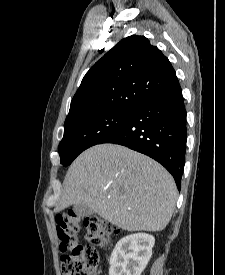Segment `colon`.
Returning <instances> with one entry per match:
<instances>
[{"label": "colon", "instance_id": "colon-1", "mask_svg": "<svg viewBox=\"0 0 225 275\" xmlns=\"http://www.w3.org/2000/svg\"><path fill=\"white\" fill-rule=\"evenodd\" d=\"M82 225L92 246L77 245L76 234ZM56 233L60 249L71 251L61 258L62 275H93L99 260L95 247L104 246L106 241L116 234V229L97 216L81 218L73 213H63L56 219Z\"/></svg>", "mask_w": 225, "mask_h": 275}]
</instances>
